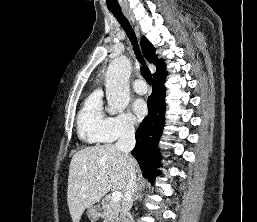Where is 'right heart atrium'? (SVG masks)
I'll return each mask as SVG.
<instances>
[{
  "label": "right heart atrium",
  "mask_w": 257,
  "mask_h": 222,
  "mask_svg": "<svg viewBox=\"0 0 257 222\" xmlns=\"http://www.w3.org/2000/svg\"><path fill=\"white\" fill-rule=\"evenodd\" d=\"M135 132L134 121L130 114L108 118L103 135L106 142H114L131 137Z\"/></svg>",
  "instance_id": "right-heart-atrium-1"
}]
</instances>
